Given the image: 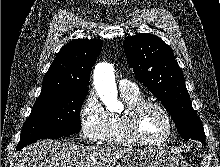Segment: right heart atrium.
<instances>
[{"label":"right heart atrium","instance_id":"right-heart-atrium-1","mask_svg":"<svg viewBox=\"0 0 220 167\" xmlns=\"http://www.w3.org/2000/svg\"><path fill=\"white\" fill-rule=\"evenodd\" d=\"M107 118L108 113L103 108L96 93L89 90L81 103L79 111L83 140L87 143L102 142L107 127Z\"/></svg>","mask_w":220,"mask_h":167}]
</instances>
